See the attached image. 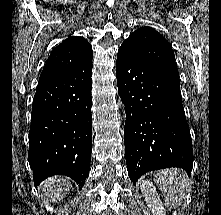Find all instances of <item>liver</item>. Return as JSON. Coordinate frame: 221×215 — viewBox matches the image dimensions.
I'll use <instances>...</instances> for the list:
<instances>
[{"mask_svg":"<svg viewBox=\"0 0 221 215\" xmlns=\"http://www.w3.org/2000/svg\"><path fill=\"white\" fill-rule=\"evenodd\" d=\"M70 179L64 176H54L39 186L41 190L51 202L62 200L70 191Z\"/></svg>","mask_w":221,"mask_h":215,"instance_id":"liver-1","label":"liver"}]
</instances>
